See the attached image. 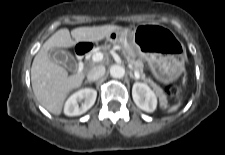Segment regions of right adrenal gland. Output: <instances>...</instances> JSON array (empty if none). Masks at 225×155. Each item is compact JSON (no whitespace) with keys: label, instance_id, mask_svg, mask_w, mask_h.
Wrapping results in <instances>:
<instances>
[{"label":"right adrenal gland","instance_id":"obj_1","mask_svg":"<svg viewBox=\"0 0 225 155\" xmlns=\"http://www.w3.org/2000/svg\"><path fill=\"white\" fill-rule=\"evenodd\" d=\"M85 83H90L91 84L92 82L91 81H86Z\"/></svg>","mask_w":225,"mask_h":155}]
</instances>
